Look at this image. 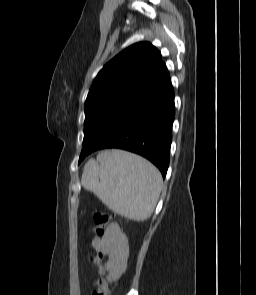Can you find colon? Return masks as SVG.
<instances>
[{"instance_id":"1","label":"colon","mask_w":256,"mask_h":295,"mask_svg":"<svg viewBox=\"0 0 256 295\" xmlns=\"http://www.w3.org/2000/svg\"><path fill=\"white\" fill-rule=\"evenodd\" d=\"M93 224L90 228V232L96 236H102L104 233L105 226L110 221V216L108 213L103 211H96L92 215ZM94 247L93 242L91 243ZM104 258L103 252L91 253L89 255V259L91 262H96L97 260H102ZM94 290L92 295H110V290L108 284L104 278V269L103 267H99L98 277L94 280Z\"/></svg>"}]
</instances>
